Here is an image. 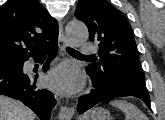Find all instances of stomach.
Segmentation results:
<instances>
[{
  "label": "stomach",
  "mask_w": 165,
  "mask_h": 120,
  "mask_svg": "<svg viewBox=\"0 0 165 120\" xmlns=\"http://www.w3.org/2000/svg\"><path fill=\"white\" fill-rule=\"evenodd\" d=\"M82 120H112V117L106 109L96 107L88 111Z\"/></svg>",
  "instance_id": "stomach-1"
}]
</instances>
